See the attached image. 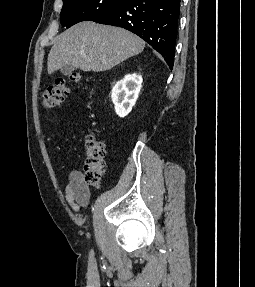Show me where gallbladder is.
<instances>
[{
  "label": "gallbladder",
  "instance_id": "gallbladder-1",
  "mask_svg": "<svg viewBox=\"0 0 255 287\" xmlns=\"http://www.w3.org/2000/svg\"><path fill=\"white\" fill-rule=\"evenodd\" d=\"M74 70H76L75 66H62V68H60L61 74H65V76H68V74H72Z\"/></svg>",
  "mask_w": 255,
  "mask_h": 287
}]
</instances>
